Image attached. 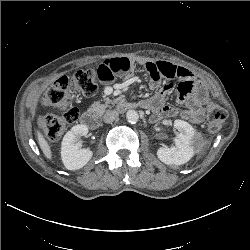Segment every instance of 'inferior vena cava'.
<instances>
[{
  "label": "inferior vena cava",
  "instance_id": "1",
  "mask_svg": "<svg viewBox=\"0 0 250 250\" xmlns=\"http://www.w3.org/2000/svg\"><path fill=\"white\" fill-rule=\"evenodd\" d=\"M119 116V113L115 110H110L107 111L104 116H103V121L105 123H112L113 121H115Z\"/></svg>",
  "mask_w": 250,
  "mask_h": 250
}]
</instances>
